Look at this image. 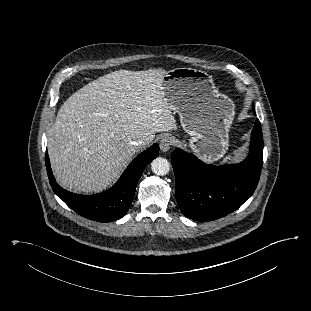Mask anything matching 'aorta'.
Returning a JSON list of instances; mask_svg holds the SVG:
<instances>
[{
	"mask_svg": "<svg viewBox=\"0 0 311 311\" xmlns=\"http://www.w3.org/2000/svg\"><path fill=\"white\" fill-rule=\"evenodd\" d=\"M151 169L154 174L163 176L169 172L170 163L168 162L167 159L158 157L152 161Z\"/></svg>",
	"mask_w": 311,
	"mask_h": 311,
	"instance_id": "obj_1",
	"label": "aorta"
}]
</instances>
